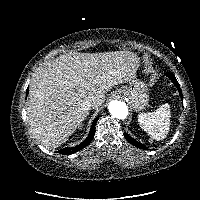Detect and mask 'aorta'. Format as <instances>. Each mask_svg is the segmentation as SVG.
<instances>
[{"instance_id":"762f6f07","label":"aorta","mask_w":200,"mask_h":200,"mask_svg":"<svg viewBox=\"0 0 200 200\" xmlns=\"http://www.w3.org/2000/svg\"><path fill=\"white\" fill-rule=\"evenodd\" d=\"M108 109L110 114L117 119H125L128 116V107L122 101H111Z\"/></svg>"}]
</instances>
